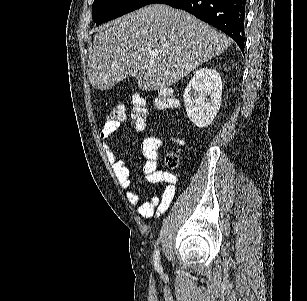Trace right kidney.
I'll return each mask as SVG.
<instances>
[{
  "label": "right kidney",
  "instance_id": "1",
  "mask_svg": "<svg viewBox=\"0 0 307 301\" xmlns=\"http://www.w3.org/2000/svg\"><path fill=\"white\" fill-rule=\"evenodd\" d=\"M183 100L189 120L199 128L209 126L222 102L220 72L214 68L196 70L184 90Z\"/></svg>",
  "mask_w": 307,
  "mask_h": 301
}]
</instances>
